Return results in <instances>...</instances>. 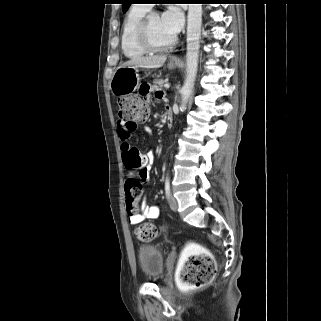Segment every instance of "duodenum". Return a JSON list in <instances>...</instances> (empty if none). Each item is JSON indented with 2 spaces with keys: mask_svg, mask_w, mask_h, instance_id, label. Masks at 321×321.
I'll return each mask as SVG.
<instances>
[{
  "mask_svg": "<svg viewBox=\"0 0 321 321\" xmlns=\"http://www.w3.org/2000/svg\"><path fill=\"white\" fill-rule=\"evenodd\" d=\"M166 123H167V126H168V127H171V126H172V123H173V116H172V113H171L170 108H169V110H167Z\"/></svg>",
  "mask_w": 321,
  "mask_h": 321,
  "instance_id": "1",
  "label": "duodenum"
}]
</instances>
